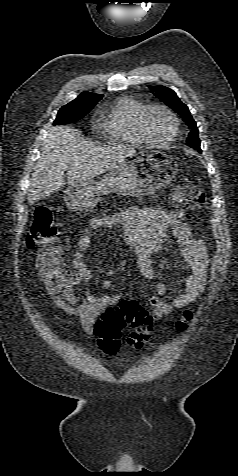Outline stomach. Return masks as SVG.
Listing matches in <instances>:
<instances>
[{"label":"stomach","mask_w":238,"mask_h":476,"mask_svg":"<svg viewBox=\"0 0 238 476\" xmlns=\"http://www.w3.org/2000/svg\"><path fill=\"white\" fill-rule=\"evenodd\" d=\"M177 161L164 151H134L101 180L69 186L64 201L74 212L93 209L103 194L155 195L177 175Z\"/></svg>","instance_id":"0dacf381"}]
</instances>
